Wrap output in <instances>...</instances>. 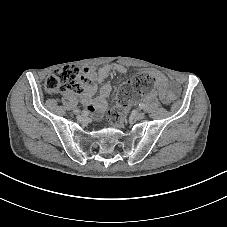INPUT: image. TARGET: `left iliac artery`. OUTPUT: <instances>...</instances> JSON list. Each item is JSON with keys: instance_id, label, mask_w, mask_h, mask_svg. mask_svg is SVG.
<instances>
[{"instance_id": "obj_1", "label": "left iliac artery", "mask_w": 227, "mask_h": 227, "mask_svg": "<svg viewBox=\"0 0 227 227\" xmlns=\"http://www.w3.org/2000/svg\"><path fill=\"white\" fill-rule=\"evenodd\" d=\"M144 107H145V104L141 102V103L139 104V108H140V109H144Z\"/></svg>"}]
</instances>
